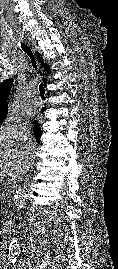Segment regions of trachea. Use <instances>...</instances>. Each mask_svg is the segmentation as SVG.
<instances>
[{"label": "trachea", "mask_w": 118, "mask_h": 269, "mask_svg": "<svg viewBox=\"0 0 118 269\" xmlns=\"http://www.w3.org/2000/svg\"><path fill=\"white\" fill-rule=\"evenodd\" d=\"M21 48L30 57L32 66H33V68L36 69L37 68V65H36L35 56H34L32 50L30 49V47H28L26 44H21ZM39 91H40V95H45V89H44V85L43 84H40L39 85Z\"/></svg>", "instance_id": "trachea-1"}]
</instances>
